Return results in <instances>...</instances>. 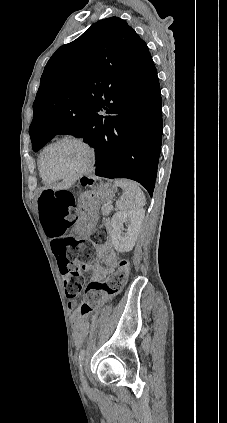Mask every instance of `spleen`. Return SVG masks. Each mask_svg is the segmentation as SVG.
Masks as SVG:
<instances>
[{
	"instance_id": "1",
	"label": "spleen",
	"mask_w": 227,
	"mask_h": 423,
	"mask_svg": "<svg viewBox=\"0 0 227 423\" xmlns=\"http://www.w3.org/2000/svg\"><path fill=\"white\" fill-rule=\"evenodd\" d=\"M115 186H120L123 196L116 202L118 210L136 211L141 210L146 204L145 196L139 186L131 180H114Z\"/></svg>"
}]
</instances>
